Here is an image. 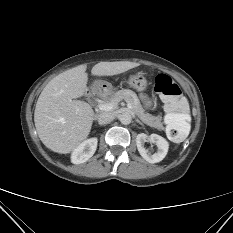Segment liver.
I'll use <instances>...</instances> for the list:
<instances>
[{
    "mask_svg": "<svg viewBox=\"0 0 233 233\" xmlns=\"http://www.w3.org/2000/svg\"><path fill=\"white\" fill-rule=\"evenodd\" d=\"M129 61L100 62L93 76H113L139 66ZM87 65L82 64L54 77L41 92L35 107L34 122L42 143L54 152L67 154L84 141L94 120L89 104L77 98L85 95Z\"/></svg>",
    "mask_w": 233,
    "mask_h": 233,
    "instance_id": "liver-1",
    "label": "liver"
}]
</instances>
